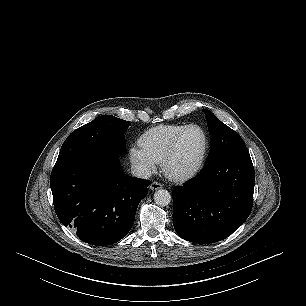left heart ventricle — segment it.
Listing matches in <instances>:
<instances>
[{
    "instance_id": "1",
    "label": "left heart ventricle",
    "mask_w": 306,
    "mask_h": 306,
    "mask_svg": "<svg viewBox=\"0 0 306 306\" xmlns=\"http://www.w3.org/2000/svg\"><path fill=\"white\" fill-rule=\"evenodd\" d=\"M204 149V136L200 130L192 128L184 135L178 154L171 164L173 172H185L199 161Z\"/></svg>"
}]
</instances>
